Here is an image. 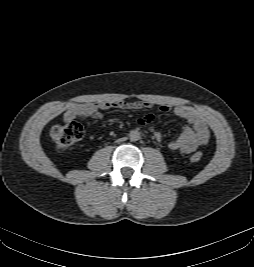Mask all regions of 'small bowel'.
I'll use <instances>...</instances> for the list:
<instances>
[{
  "instance_id": "small-bowel-1",
  "label": "small bowel",
  "mask_w": 254,
  "mask_h": 267,
  "mask_svg": "<svg viewBox=\"0 0 254 267\" xmlns=\"http://www.w3.org/2000/svg\"><path fill=\"white\" fill-rule=\"evenodd\" d=\"M154 106L153 103L146 100L126 101L115 100L109 102L95 103H73L70 104L63 116L67 123H71L78 118L92 117L100 119L103 112L109 109L122 110H144ZM160 110L168 113L171 110L174 115L187 121L190 126H186L180 136L169 143V148L173 151L189 154L194 152L199 147L205 145L210 138V131L203 116L195 109L188 106H176L173 109L169 105H162ZM154 120L153 114H147L137 120L138 125L148 126L156 140H161L162 135L159 130L154 129L151 123Z\"/></svg>"
}]
</instances>
